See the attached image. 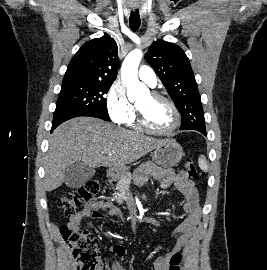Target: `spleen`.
Segmentation results:
<instances>
[{
    "label": "spleen",
    "mask_w": 267,
    "mask_h": 270,
    "mask_svg": "<svg viewBox=\"0 0 267 270\" xmlns=\"http://www.w3.org/2000/svg\"><path fill=\"white\" fill-rule=\"evenodd\" d=\"M198 164H199V167H200V169H201L202 171H204V172H207V171H208L209 166H208V164H207V160H206V158H205L204 155H201V156L199 157V159H198Z\"/></svg>",
    "instance_id": "spleen-1"
}]
</instances>
